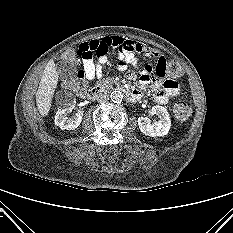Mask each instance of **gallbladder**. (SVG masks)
<instances>
[{
	"instance_id": "obj_1",
	"label": "gallbladder",
	"mask_w": 233,
	"mask_h": 233,
	"mask_svg": "<svg viewBox=\"0 0 233 233\" xmlns=\"http://www.w3.org/2000/svg\"><path fill=\"white\" fill-rule=\"evenodd\" d=\"M58 74L61 79H72L77 73L75 65L71 61L62 60L56 64Z\"/></svg>"
}]
</instances>
